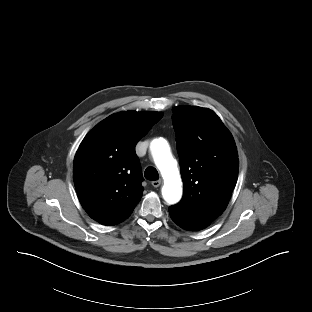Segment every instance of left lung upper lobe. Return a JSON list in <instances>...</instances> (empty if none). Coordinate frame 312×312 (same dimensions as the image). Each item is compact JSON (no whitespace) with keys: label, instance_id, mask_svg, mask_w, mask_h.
I'll use <instances>...</instances> for the list:
<instances>
[{"label":"left lung upper lobe","instance_id":"obj_1","mask_svg":"<svg viewBox=\"0 0 312 312\" xmlns=\"http://www.w3.org/2000/svg\"><path fill=\"white\" fill-rule=\"evenodd\" d=\"M172 122L184 186L182 200L172 207L211 223L225 210L237 182L235 141L220 118L207 108L175 107Z\"/></svg>","mask_w":312,"mask_h":312}]
</instances>
